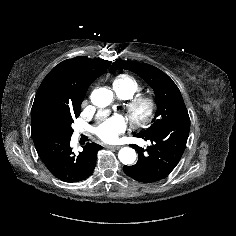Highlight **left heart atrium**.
<instances>
[{
    "mask_svg": "<svg viewBox=\"0 0 236 236\" xmlns=\"http://www.w3.org/2000/svg\"><path fill=\"white\" fill-rule=\"evenodd\" d=\"M126 130V120L122 115H114L103 121L94 133L104 142H115L119 135Z\"/></svg>",
    "mask_w": 236,
    "mask_h": 236,
    "instance_id": "left-heart-atrium-1",
    "label": "left heart atrium"
}]
</instances>
